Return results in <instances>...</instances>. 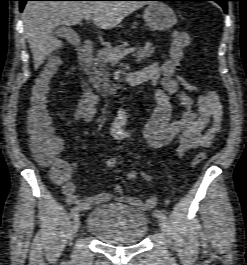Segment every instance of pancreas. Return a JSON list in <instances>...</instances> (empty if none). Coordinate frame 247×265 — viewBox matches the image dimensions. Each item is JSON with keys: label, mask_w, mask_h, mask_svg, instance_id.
I'll use <instances>...</instances> for the list:
<instances>
[{"label": "pancreas", "mask_w": 247, "mask_h": 265, "mask_svg": "<svg viewBox=\"0 0 247 265\" xmlns=\"http://www.w3.org/2000/svg\"><path fill=\"white\" fill-rule=\"evenodd\" d=\"M126 47L127 44L123 43L116 47L100 49L96 53V58L92 65L91 83L97 90L103 91L106 95L115 91V88L112 87L115 85H112L110 80L109 63H111V61L108 59V54H119L123 52ZM154 49L152 45L148 48H140L135 54L136 62L142 63L147 60L154 52Z\"/></svg>", "instance_id": "1"}]
</instances>
